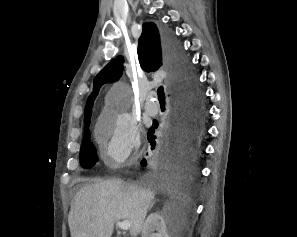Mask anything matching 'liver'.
I'll list each match as a JSON object with an SVG mask.
<instances>
[{
	"label": "liver",
	"instance_id": "liver-1",
	"mask_svg": "<svg viewBox=\"0 0 297 237\" xmlns=\"http://www.w3.org/2000/svg\"><path fill=\"white\" fill-rule=\"evenodd\" d=\"M155 197L150 188L121 180L83 186L75 195L68 215L71 237H111L119 220L130 222V235L143 228L147 210Z\"/></svg>",
	"mask_w": 297,
	"mask_h": 237
}]
</instances>
